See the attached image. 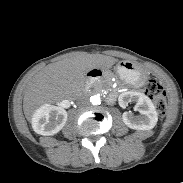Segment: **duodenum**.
<instances>
[{
  "mask_svg": "<svg viewBox=\"0 0 183 183\" xmlns=\"http://www.w3.org/2000/svg\"><path fill=\"white\" fill-rule=\"evenodd\" d=\"M103 76V70L100 68H92L87 72V77L90 82H95ZM109 101L113 100L112 96L108 97Z\"/></svg>",
  "mask_w": 183,
  "mask_h": 183,
  "instance_id": "obj_1",
  "label": "duodenum"
}]
</instances>
